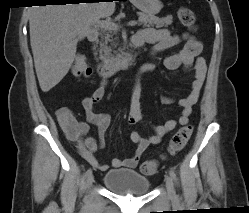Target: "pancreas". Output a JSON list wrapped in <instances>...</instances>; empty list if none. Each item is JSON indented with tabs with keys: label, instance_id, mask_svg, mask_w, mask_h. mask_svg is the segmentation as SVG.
I'll list each match as a JSON object with an SVG mask.
<instances>
[{
	"label": "pancreas",
	"instance_id": "pancreas-1",
	"mask_svg": "<svg viewBox=\"0 0 249 213\" xmlns=\"http://www.w3.org/2000/svg\"><path fill=\"white\" fill-rule=\"evenodd\" d=\"M139 16V23L144 26H155L156 28L167 27L172 24V16H167L164 18H159L154 15H148L145 13H137ZM115 34L114 30L102 29L100 31V47H99V58L105 63H113L115 61V56L112 54V47L116 46L113 36ZM116 53V52H114Z\"/></svg>",
	"mask_w": 249,
	"mask_h": 213
}]
</instances>
